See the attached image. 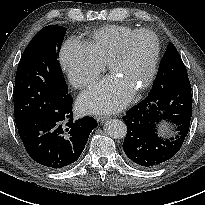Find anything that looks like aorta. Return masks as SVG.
<instances>
[{"label":"aorta","instance_id":"aorta-1","mask_svg":"<svg viewBox=\"0 0 205 205\" xmlns=\"http://www.w3.org/2000/svg\"><path fill=\"white\" fill-rule=\"evenodd\" d=\"M105 133L115 139H122L126 136V124L118 119H111L104 125Z\"/></svg>","mask_w":205,"mask_h":205}]
</instances>
